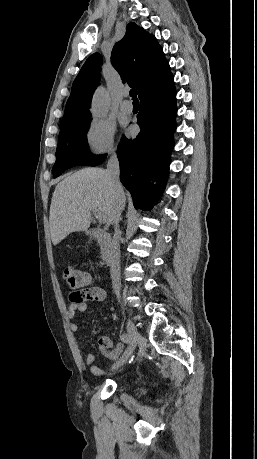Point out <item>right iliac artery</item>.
Segmentation results:
<instances>
[{"label":"right iliac artery","instance_id":"obj_1","mask_svg":"<svg viewBox=\"0 0 257 459\" xmlns=\"http://www.w3.org/2000/svg\"><path fill=\"white\" fill-rule=\"evenodd\" d=\"M122 342L124 343H129V335L126 334V333H123L121 336H120ZM128 350L125 351L124 355L127 354Z\"/></svg>","mask_w":257,"mask_h":459}]
</instances>
